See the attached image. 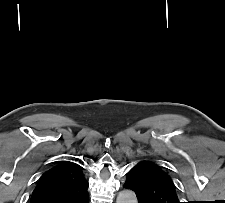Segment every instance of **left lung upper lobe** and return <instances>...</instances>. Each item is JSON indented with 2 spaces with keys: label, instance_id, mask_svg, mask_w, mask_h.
<instances>
[{
  "label": "left lung upper lobe",
  "instance_id": "5c2ea615",
  "mask_svg": "<svg viewBox=\"0 0 225 203\" xmlns=\"http://www.w3.org/2000/svg\"><path fill=\"white\" fill-rule=\"evenodd\" d=\"M125 184L139 203H180L171 177L151 161H141L127 173Z\"/></svg>",
  "mask_w": 225,
  "mask_h": 203
}]
</instances>
